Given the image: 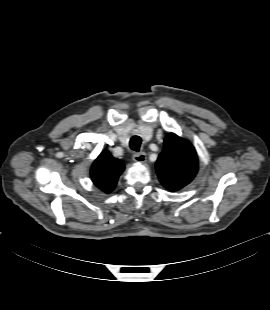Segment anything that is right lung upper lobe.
Masks as SVG:
<instances>
[{"label":"right lung upper lobe","instance_id":"right-lung-upper-lobe-1","mask_svg":"<svg viewBox=\"0 0 270 310\" xmlns=\"http://www.w3.org/2000/svg\"><path fill=\"white\" fill-rule=\"evenodd\" d=\"M124 170L123 163L108 151H102L92 164L90 175L93 183L105 193H110Z\"/></svg>","mask_w":270,"mask_h":310}]
</instances>
